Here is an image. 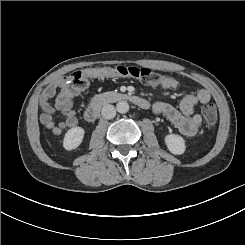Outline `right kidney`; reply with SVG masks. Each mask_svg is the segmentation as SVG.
I'll list each match as a JSON object with an SVG mask.
<instances>
[{
	"mask_svg": "<svg viewBox=\"0 0 245 245\" xmlns=\"http://www.w3.org/2000/svg\"><path fill=\"white\" fill-rule=\"evenodd\" d=\"M69 134V151L77 149L83 142L85 130L75 126L67 131Z\"/></svg>",
	"mask_w": 245,
	"mask_h": 245,
	"instance_id": "ca27d5eb",
	"label": "right kidney"
}]
</instances>
